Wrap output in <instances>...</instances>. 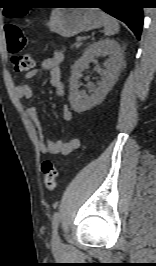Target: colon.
Listing matches in <instances>:
<instances>
[{"instance_id":"1","label":"colon","mask_w":156,"mask_h":266,"mask_svg":"<svg viewBox=\"0 0 156 266\" xmlns=\"http://www.w3.org/2000/svg\"><path fill=\"white\" fill-rule=\"evenodd\" d=\"M6 46L11 54V61L14 69L17 72H24L34 67L35 61L29 55H21L20 52L25 48L27 38L23 30L13 24H8L5 27ZM41 170L44 176L45 187L53 191L56 188L58 170L56 165L49 160H45L41 165Z\"/></svg>"}]
</instances>
